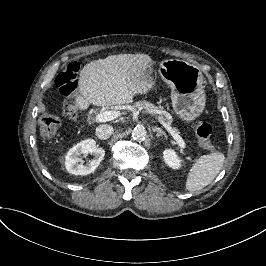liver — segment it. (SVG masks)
<instances>
[{
    "mask_svg": "<svg viewBox=\"0 0 266 266\" xmlns=\"http://www.w3.org/2000/svg\"><path fill=\"white\" fill-rule=\"evenodd\" d=\"M152 59L147 54L110 55L86 64L80 71L75 107L85 110L90 104L109 107L129 104L135 94L152 88L146 71Z\"/></svg>",
    "mask_w": 266,
    "mask_h": 266,
    "instance_id": "6515ba94",
    "label": "liver"
}]
</instances>
